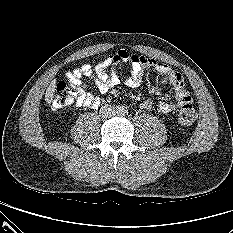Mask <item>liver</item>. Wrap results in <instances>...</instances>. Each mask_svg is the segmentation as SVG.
I'll use <instances>...</instances> for the list:
<instances>
[{
	"instance_id": "6515ba94",
	"label": "liver",
	"mask_w": 233,
	"mask_h": 233,
	"mask_svg": "<svg viewBox=\"0 0 233 233\" xmlns=\"http://www.w3.org/2000/svg\"><path fill=\"white\" fill-rule=\"evenodd\" d=\"M55 90H56V81L54 80L50 83L45 93V100L48 104H50L53 101Z\"/></svg>"
}]
</instances>
